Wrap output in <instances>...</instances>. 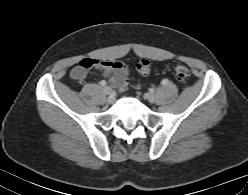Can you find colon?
Returning <instances> with one entry per match:
<instances>
[{"label":"colon","instance_id":"5ec220e1","mask_svg":"<svg viewBox=\"0 0 248 195\" xmlns=\"http://www.w3.org/2000/svg\"><path fill=\"white\" fill-rule=\"evenodd\" d=\"M94 66V63L91 59H85L81 61L76 67L71 71V77L74 79L83 78L88 71H90ZM138 72L147 76L151 71V62L149 60H141L137 64ZM174 74L177 81L180 83H186L190 78V71L186 65L183 63H177L174 67ZM128 87V79L122 78L118 83V89L120 91L126 90Z\"/></svg>","mask_w":248,"mask_h":195}]
</instances>
